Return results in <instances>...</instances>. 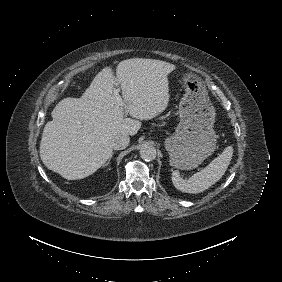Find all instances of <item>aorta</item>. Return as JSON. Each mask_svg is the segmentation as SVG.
<instances>
[{
    "mask_svg": "<svg viewBox=\"0 0 282 282\" xmlns=\"http://www.w3.org/2000/svg\"><path fill=\"white\" fill-rule=\"evenodd\" d=\"M139 154L143 160L150 161L155 159L156 150L153 146L145 144L140 148Z\"/></svg>",
    "mask_w": 282,
    "mask_h": 282,
    "instance_id": "762f6f07",
    "label": "aorta"
}]
</instances>
